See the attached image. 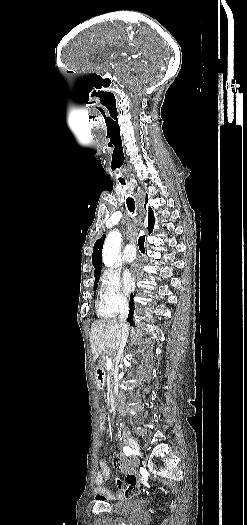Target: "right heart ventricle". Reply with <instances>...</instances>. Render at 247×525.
Instances as JSON below:
<instances>
[{"label":"right heart ventricle","mask_w":247,"mask_h":525,"mask_svg":"<svg viewBox=\"0 0 247 525\" xmlns=\"http://www.w3.org/2000/svg\"><path fill=\"white\" fill-rule=\"evenodd\" d=\"M97 313L100 317H106L105 315H103L99 309V306L97 305Z\"/></svg>","instance_id":"e07e8e85"}]
</instances>
